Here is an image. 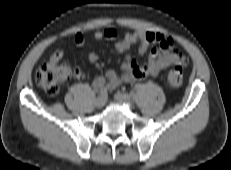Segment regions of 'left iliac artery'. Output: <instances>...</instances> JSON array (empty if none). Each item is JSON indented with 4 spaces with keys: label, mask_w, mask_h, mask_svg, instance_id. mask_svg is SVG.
Here are the masks:
<instances>
[{
    "label": "left iliac artery",
    "mask_w": 231,
    "mask_h": 170,
    "mask_svg": "<svg viewBox=\"0 0 231 170\" xmlns=\"http://www.w3.org/2000/svg\"><path fill=\"white\" fill-rule=\"evenodd\" d=\"M136 88H140L141 87V84H136V86H135Z\"/></svg>",
    "instance_id": "1"
}]
</instances>
